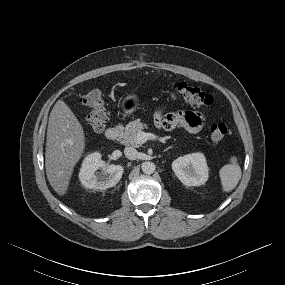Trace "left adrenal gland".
<instances>
[{"label":"left adrenal gland","instance_id":"obj_1","mask_svg":"<svg viewBox=\"0 0 285 285\" xmlns=\"http://www.w3.org/2000/svg\"><path fill=\"white\" fill-rule=\"evenodd\" d=\"M170 148H172V147H169V148H167L166 150H168V149H170ZM166 150H165V151H166Z\"/></svg>","mask_w":285,"mask_h":285}]
</instances>
